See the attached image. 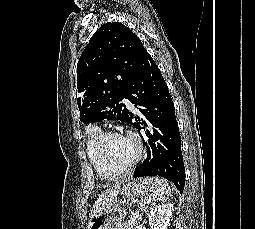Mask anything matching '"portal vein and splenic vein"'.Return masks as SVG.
<instances>
[{
    "label": "portal vein and splenic vein",
    "instance_id": "18ae733b",
    "mask_svg": "<svg viewBox=\"0 0 255 229\" xmlns=\"http://www.w3.org/2000/svg\"><path fill=\"white\" fill-rule=\"evenodd\" d=\"M137 217V216H136ZM135 219H132L128 222V224H132L134 222Z\"/></svg>",
    "mask_w": 255,
    "mask_h": 229
}]
</instances>
